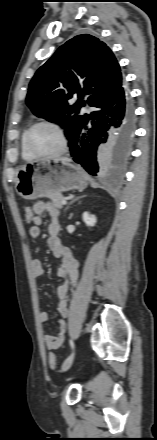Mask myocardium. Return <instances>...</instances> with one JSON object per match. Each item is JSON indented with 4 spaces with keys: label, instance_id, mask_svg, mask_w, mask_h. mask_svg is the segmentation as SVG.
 Masks as SVG:
<instances>
[{
    "label": "myocardium",
    "instance_id": "1",
    "mask_svg": "<svg viewBox=\"0 0 157 440\" xmlns=\"http://www.w3.org/2000/svg\"><path fill=\"white\" fill-rule=\"evenodd\" d=\"M49 126L52 127L53 129H55L60 137L61 140V145L59 147V149L55 152L52 153H48V154H43V153H39L37 151H35L33 149V147L31 146V142H30V137L31 134L33 132V130L35 128H37L38 126ZM25 143H26V147L27 149L30 151V153H32L35 157H50V156H58L61 155L63 153H65L68 149L69 146V140L66 134L65 129L63 128V126L55 121L52 120H40L35 122L34 124H32L27 132H26V136H25Z\"/></svg>",
    "mask_w": 157,
    "mask_h": 440
}]
</instances>
